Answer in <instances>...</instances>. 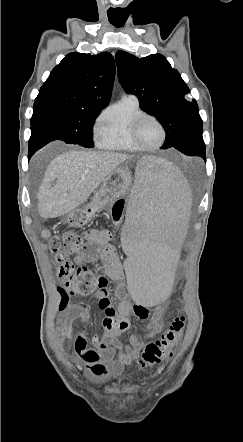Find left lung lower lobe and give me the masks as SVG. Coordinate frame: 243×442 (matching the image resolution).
<instances>
[{
  "label": "left lung lower lobe",
  "mask_w": 243,
  "mask_h": 442,
  "mask_svg": "<svg viewBox=\"0 0 243 442\" xmlns=\"http://www.w3.org/2000/svg\"><path fill=\"white\" fill-rule=\"evenodd\" d=\"M180 152L189 156H200L205 160V143L202 134L194 136L185 143L176 147Z\"/></svg>",
  "instance_id": "obj_1"
}]
</instances>
